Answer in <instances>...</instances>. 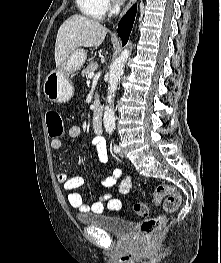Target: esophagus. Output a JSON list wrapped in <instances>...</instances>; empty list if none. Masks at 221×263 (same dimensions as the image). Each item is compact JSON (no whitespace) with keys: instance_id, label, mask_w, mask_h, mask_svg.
<instances>
[{"instance_id":"34e87169","label":"esophagus","mask_w":221,"mask_h":263,"mask_svg":"<svg viewBox=\"0 0 221 263\" xmlns=\"http://www.w3.org/2000/svg\"><path fill=\"white\" fill-rule=\"evenodd\" d=\"M135 2H136V0H129L128 4L126 5V7H125V9H124L123 14H124L129 8H131V7L134 5Z\"/></svg>"}]
</instances>
